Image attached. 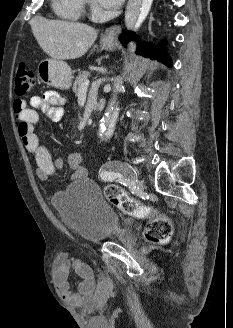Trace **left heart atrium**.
Instances as JSON below:
<instances>
[{"mask_svg": "<svg viewBox=\"0 0 233 328\" xmlns=\"http://www.w3.org/2000/svg\"><path fill=\"white\" fill-rule=\"evenodd\" d=\"M124 0H99V2L106 8H118Z\"/></svg>", "mask_w": 233, "mask_h": 328, "instance_id": "1", "label": "left heart atrium"}]
</instances>
